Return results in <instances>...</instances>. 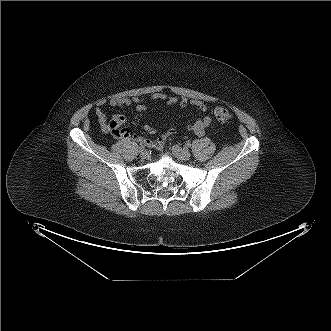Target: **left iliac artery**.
I'll list each match as a JSON object with an SVG mask.
<instances>
[{
    "label": "left iliac artery",
    "instance_id": "44dca946",
    "mask_svg": "<svg viewBox=\"0 0 331 331\" xmlns=\"http://www.w3.org/2000/svg\"><path fill=\"white\" fill-rule=\"evenodd\" d=\"M185 146H186L187 148H189V147H191V143L188 141V142L185 143Z\"/></svg>",
    "mask_w": 331,
    "mask_h": 331
}]
</instances>
